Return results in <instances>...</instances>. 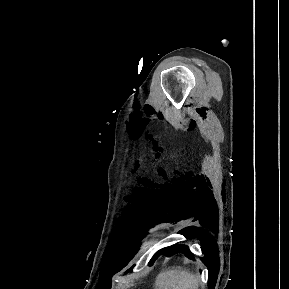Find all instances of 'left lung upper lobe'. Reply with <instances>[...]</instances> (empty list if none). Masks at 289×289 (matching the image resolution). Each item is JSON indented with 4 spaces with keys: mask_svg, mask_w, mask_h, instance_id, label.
Listing matches in <instances>:
<instances>
[{
    "mask_svg": "<svg viewBox=\"0 0 289 289\" xmlns=\"http://www.w3.org/2000/svg\"><path fill=\"white\" fill-rule=\"evenodd\" d=\"M160 253H161V251L157 252V253L153 256V258L151 259V262H153L154 259H155Z\"/></svg>",
    "mask_w": 289,
    "mask_h": 289,
    "instance_id": "5c2ea615",
    "label": "left lung upper lobe"
}]
</instances>
